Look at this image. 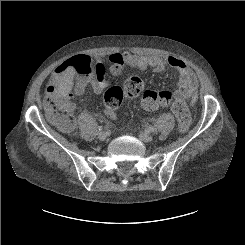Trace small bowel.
<instances>
[{
	"mask_svg": "<svg viewBox=\"0 0 245 245\" xmlns=\"http://www.w3.org/2000/svg\"><path fill=\"white\" fill-rule=\"evenodd\" d=\"M110 73L117 76L121 73L124 66H130L138 69L153 68L157 72L163 71L165 68H171L178 73L177 90L175 93L191 105L198 100L197 80L191 69L183 60L174 55H152L140 56L128 51L114 52L109 55ZM66 62L58 65L52 75V81L58 82L66 79L70 84L74 85V93L83 95L87 91L94 94H101L109 84L107 79L101 81L89 79H76L72 72L65 69ZM115 117L113 115L111 118ZM101 120H103L101 118Z\"/></svg>",
	"mask_w": 245,
	"mask_h": 245,
	"instance_id": "1",
	"label": "small bowel"
}]
</instances>
